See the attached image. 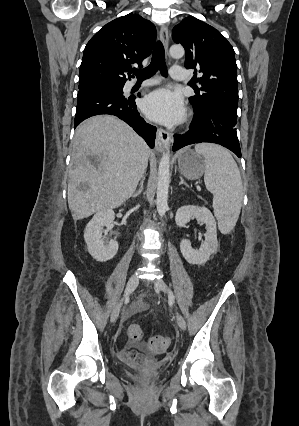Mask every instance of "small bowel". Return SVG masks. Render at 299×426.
<instances>
[{
  "instance_id": "1",
  "label": "small bowel",
  "mask_w": 299,
  "mask_h": 426,
  "mask_svg": "<svg viewBox=\"0 0 299 426\" xmlns=\"http://www.w3.org/2000/svg\"><path fill=\"white\" fill-rule=\"evenodd\" d=\"M146 305L138 302L134 305V312H143ZM119 358L131 367L150 366L157 362L152 351L146 345H141L136 341L128 340L119 351Z\"/></svg>"
}]
</instances>
